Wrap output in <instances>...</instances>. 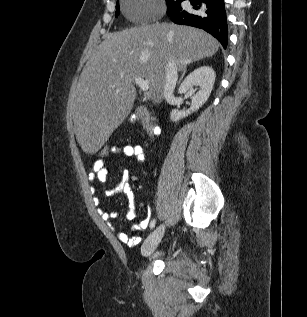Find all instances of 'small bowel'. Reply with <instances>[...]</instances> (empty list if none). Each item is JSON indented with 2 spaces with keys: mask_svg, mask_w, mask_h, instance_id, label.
Masks as SVG:
<instances>
[{
  "mask_svg": "<svg viewBox=\"0 0 307 317\" xmlns=\"http://www.w3.org/2000/svg\"><path fill=\"white\" fill-rule=\"evenodd\" d=\"M114 155H124L126 157L134 158L138 163H142L145 160V153L143 148L137 144H126L123 146H116L114 150ZM109 174V168L107 166V162H102L96 160L93 163L92 167V178H96L99 182H105L106 178ZM132 179L129 172H126L124 178L117 189H113L107 192L108 196H111L117 191H121L125 194L128 201V211L125 214V219L127 221H131L135 218L134 206H135V196L133 189L130 184V180ZM94 202L96 204L99 203V199L95 198ZM100 215L104 221H110L112 219L119 218L120 214L118 212H106L101 211ZM151 223V222H150ZM148 225L147 221H143L134 226L135 230H141L146 228ZM118 238L127 246H135L138 244L139 240L131 237L129 234L125 232H118Z\"/></svg>",
  "mask_w": 307,
  "mask_h": 317,
  "instance_id": "1",
  "label": "small bowel"
}]
</instances>
